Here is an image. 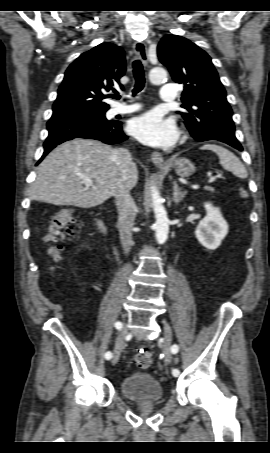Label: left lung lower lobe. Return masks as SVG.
Segmentation results:
<instances>
[{
    "mask_svg": "<svg viewBox=\"0 0 270 453\" xmlns=\"http://www.w3.org/2000/svg\"><path fill=\"white\" fill-rule=\"evenodd\" d=\"M191 135H192V134H191ZM192 136H193V135H192ZM193 137H194V136H193ZM222 142L227 143V144H229L230 146H232V147H234V148H236V149L242 151V146H241V144L238 142V140H236V141H233V140H225V141H222Z\"/></svg>",
    "mask_w": 270,
    "mask_h": 453,
    "instance_id": "obj_1",
    "label": "left lung lower lobe"
}]
</instances>
